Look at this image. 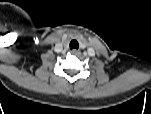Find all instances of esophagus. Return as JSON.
Returning <instances> with one entry per match:
<instances>
[{
    "label": "esophagus",
    "mask_w": 151,
    "mask_h": 114,
    "mask_svg": "<svg viewBox=\"0 0 151 114\" xmlns=\"http://www.w3.org/2000/svg\"><path fill=\"white\" fill-rule=\"evenodd\" d=\"M71 53H73V54H77V53H78V51H77L76 49H73V50L71 51Z\"/></svg>",
    "instance_id": "esophagus-1"
}]
</instances>
